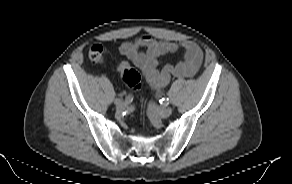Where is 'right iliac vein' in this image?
<instances>
[{"instance_id":"63e3f726","label":"right iliac vein","mask_w":292,"mask_h":184,"mask_svg":"<svg viewBox=\"0 0 292 184\" xmlns=\"http://www.w3.org/2000/svg\"><path fill=\"white\" fill-rule=\"evenodd\" d=\"M114 103L118 109H123L127 106V102H125L121 98H116Z\"/></svg>"}]
</instances>
